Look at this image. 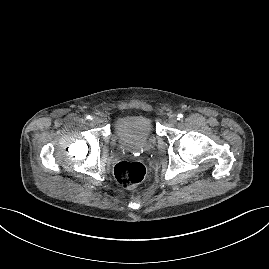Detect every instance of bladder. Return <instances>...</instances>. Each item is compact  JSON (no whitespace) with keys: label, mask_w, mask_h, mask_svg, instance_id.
<instances>
[{"label":"bladder","mask_w":269,"mask_h":269,"mask_svg":"<svg viewBox=\"0 0 269 269\" xmlns=\"http://www.w3.org/2000/svg\"><path fill=\"white\" fill-rule=\"evenodd\" d=\"M113 133L122 144L147 145L154 137V125L147 115H125L115 121Z\"/></svg>","instance_id":"1"}]
</instances>
